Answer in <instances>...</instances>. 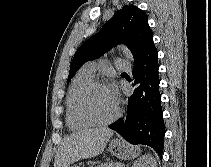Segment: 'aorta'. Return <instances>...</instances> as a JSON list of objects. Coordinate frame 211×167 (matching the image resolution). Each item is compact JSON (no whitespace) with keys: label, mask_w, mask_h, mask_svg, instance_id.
<instances>
[{"label":"aorta","mask_w":211,"mask_h":167,"mask_svg":"<svg viewBox=\"0 0 211 167\" xmlns=\"http://www.w3.org/2000/svg\"><path fill=\"white\" fill-rule=\"evenodd\" d=\"M119 49L123 52V54L130 60L133 61V56L131 54V52L129 51L128 48L124 47V46H119Z\"/></svg>","instance_id":"obj_1"}]
</instances>
